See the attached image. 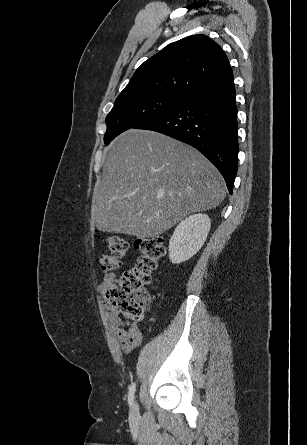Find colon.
<instances>
[{"label": "colon", "instance_id": "colon-1", "mask_svg": "<svg viewBox=\"0 0 307 445\" xmlns=\"http://www.w3.org/2000/svg\"><path fill=\"white\" fill-rule=\"evenodd\" d=\"M107 242L110 253L100 256V265L104 272H112L121 267L128 243L117 235L109 236ZM136 248L139 251L137 263L110 284L106 297L125 318L138 322L145 318L149 309L151 297L146 286L165 254V244L158 237L139 238Z\"/></svg>", "mask_w": 307, "mask_h": 445}]
</instances>
